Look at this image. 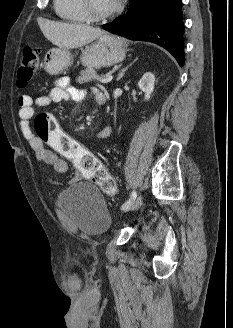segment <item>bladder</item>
Segmentation results:
<instances>
[{"label":"bladder","mask_w":233,"mask_h":328,"mask_svg":"<svg viewBox=\"0 0 233 328\" xmlns=\"http://www.w3.org/2000/svg\"><path fill=\"white\" fill-rule=\"evenodd\" d=\"M57 205L80 231L89 236L100 235L111 225L106 201L91 183L79 182L62 191Z\"/></svg>","instance_id":"1"}]
</instances>
